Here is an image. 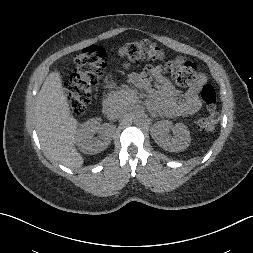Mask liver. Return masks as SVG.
I'll return each mask as SVG.
<instances>
[{
    "mask_svg": "<svg viewBox=\"0 0 253 253\" xmlns=\"http://www.w3.org/2000/svg\"><path fill=\"white\" fill-rule=\"evenodd\" d=\"M136 91L130 90L122 102L128 110ZM33 122L45 156L53 163L80 168L84 159L75 149L79 121L70 115L69 102L64 94L60 73L51 72L37 96Z\"/></svg>",
    "mask_w": 253,
    "mask_h": 253,
    "instance_id": "obj_1",
    "label": "liver"
}]
</instances>
